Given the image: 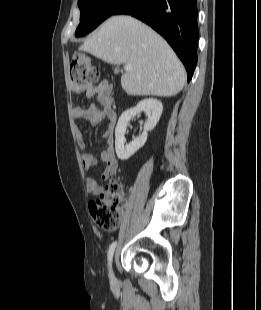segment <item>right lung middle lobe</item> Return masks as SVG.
<instances>
[{
	"mask_svg": "<svg viewBox=\"0 0 261 310\" xmlns=\"http://www.w3.org/2000/svg\"><path fill=\"white\" fill-rule=\"evenodd\" d=\"M127 0H78L80 24L75 36H83L95 29Z\"/></svg>",
	"mask_w": 261,
	"mask_h": 310,
	"instance_id": "obj_1",
	"label": "right lung middle lobe"
}]
</instances>
